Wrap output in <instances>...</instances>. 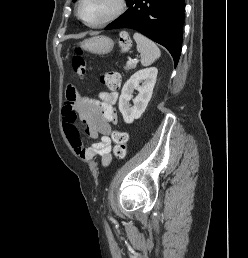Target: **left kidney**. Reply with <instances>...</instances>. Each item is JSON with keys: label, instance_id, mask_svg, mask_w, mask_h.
<instances>
[{"label": "left kidney", "instance_id": "left-kidney-1", "mask_svg": "<svg viewBox=\"0 0 248 258\" xmlns=\"http://www.w3.org/2000/svg\"><path fill=\"white\" fill-rule=\"evenodd\" d=\"M158 70L156 67L141 69L134 73L124 84L119 98V110L124 122L131 124L144 113L153 93ZM142 83V85H140ZM136 89L138 95L133 99L134 105H130L132 93Z\"/></svg>", "mask_w": 248, "mask_h": 258}]
</instances>
